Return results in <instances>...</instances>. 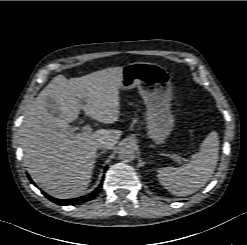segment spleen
<instances>
[{
	"mask_svg": "<svg viewBox=\"0 0 247 245\" xmlns=\"http://www.w3.org/2000/svg\"><path fill=\"white\" fill-rule=\"evenodd\" d=\"M219 158V139L215 131L209 133L192 155L189 163L182 167L158 169L161 185L175 196H187L197 192L212 177Z\"/></svg>",
	"mask_w": 247,
	"mask_h": 245,
	"instance_id": "1",
	"label": "spleen"
}]
</instances>
